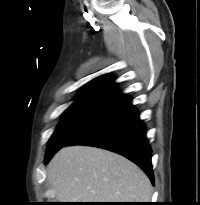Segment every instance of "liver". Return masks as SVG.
I'll list each match as a JSON object with an SVG mask.
<instances>
[{
    "instance_id": "6515ba94",
    "label": "liver",
    "mask_w": 200,
    "mask_h": 205,
    "mask_svg": "<svg viewBox=\"0 0 200 205\" xmlns=\"http://www.w3.org/2000/svg\"><path fill=\"white\" fill-rule=\"evenodd\" d=\"M48 180L61 202H149L145 173L116 153L89 146H67L48 164Z\"/></svg>"
}]
</instances>
